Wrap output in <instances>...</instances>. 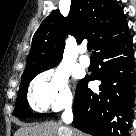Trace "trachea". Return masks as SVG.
<instances>
[{"mask_svg":"<svg viewBox=\"0 0 136 136\" xmlns=\"http://www.w3.org/2000/svg\"><path fill=\"white\" fill-rule=\"evenodd\" d=\"M87 49H88V51H91V49H92L91 44H87Z\"/></svg>","mask_w":136,"mask_h":136,"instance_id":"1","label":"trachea"}]
</instances>
